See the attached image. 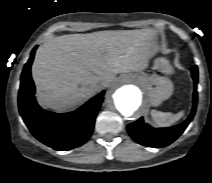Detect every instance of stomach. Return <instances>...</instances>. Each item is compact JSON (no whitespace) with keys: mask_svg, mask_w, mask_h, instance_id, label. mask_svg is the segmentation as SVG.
<instances>
[{"mask_svg":"<svg viewBox=\"0 0 212 183\" xmlns=\"http://www.w3.org/2000/svg\"><path fill=\"white\" fill-rule=\"evenodd\" d=\"M154 40L158 44V36H155ZM154 69L164 74L173 73L170 62L165 58H157L154 61ZM128 77L141 85L146 93L147 101L151 106L160 105L173 93V84L167 77L156 74L148 75L142 72L131 73Z\"/></svg>","mask_w":212,"mask_h":183,"instance_id":"0dacf381","label":"stomach"}]
</instances>
